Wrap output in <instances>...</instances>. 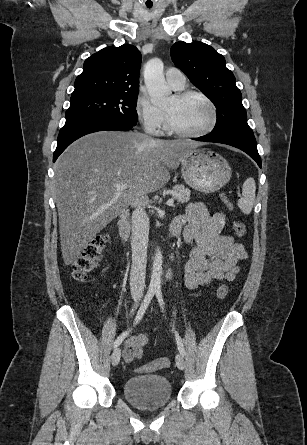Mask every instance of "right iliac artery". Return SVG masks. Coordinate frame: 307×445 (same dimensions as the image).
I'll use <instances>...</instances> for the list:
<instances>
[{
    "label": "right iliac artery",
    "instance_id": "right-iliac-artery-1",
    "mask_svg": "<svg viewBox=\"0 0 307 445\" xmlns=\"http://www.w3.org/2000/svg\"><path fill=\"white\" fill-rule=\"evenodd\" d=\"M155 291L154 290H149L147 292V294L145 295L143 302L137 312L135 321H134V325H137L139 323V321L142 319L147 307L149 306L153 296H154ZM131 331V329L125 331L124 333H122L114 342L113 347L116 349L121 343L122 341L125 339V337L129 334V332Z\"/></svg>",
    "mask_w": 307,
    "mask_h": 445
}]
</instances>
